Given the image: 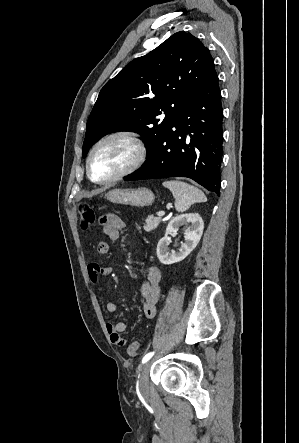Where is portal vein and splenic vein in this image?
Wrapping results in <instances>:
<instances>
[{
  "label": "portal vein and splenic vein",
  "instance_id": "1",
  "mask_svg": "<svg viewBox=\"0 0 299 443\" xmlns=\"http://www.w3.org/2000/svg\"><path fill=\"white\" fill-rule=\"evenodd\" d=\"M157 215H158V218H161V217H163L165 215V212L164 211H160V212L157 213Z\"/></svg>",
  "mask_w": 299,
  "mask_h": 443
}]
</instances>
